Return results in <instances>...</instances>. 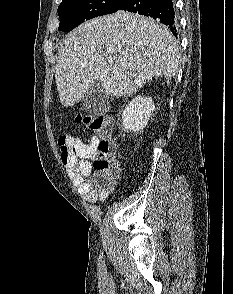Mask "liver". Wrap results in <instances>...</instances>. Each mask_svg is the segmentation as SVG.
<instances>
[{
  "label": "liver",
  "instance_id": "1",
  "mask_svg": "<svg viewBox=\"0 0 233 294\" xmlns=\"http://www.w3.org/2000/svg\"><path fill=\"white\" fill-rule=\"evenodd\" d=\"M179 59L175 37L158 21L125 11L95 18L70 32L58 51L60 101L73 106L96 83L107 96L130 95L154 77H174Z\"/></svg>",
  "mask_w": 233,
  "mask_h": 294
}]
</instances>
